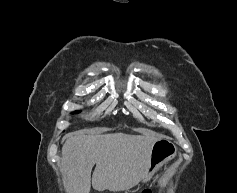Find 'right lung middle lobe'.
<instances>
[{
    "instance_id": "1",
    "label": "right lung middle lobe",
    "mask_w": 237,
    "mask_h": 193,
    "mask_svg": "<svg viewBox=\"0 0 237 193\" xmlns=\"http://www.w3.org/2000/svg\"><path fill=\"white\" fill-rule=\"evenodd\" d=\"M75 113H79V111H75Z\"/></svg>"
}]
</instances>
